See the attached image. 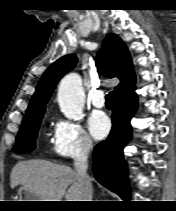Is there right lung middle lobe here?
Wrapping results in <instances>:
<instances>
[{"instance_id":"1","label":"right lung middle lobe","mask_w":176,"mask_h":211,"mask_svg":"<svg viewBox=\"0 0 176 211\" xmlns=\"http://www.w3.org/2000/svg\"><path fill=\"white\" fill-rule=\"evenodd\" d=\"M44 111L24 117L19 133L16 138L13 151L25 153L34 150L35 140Z\"/></svg>"}]
</instances>
